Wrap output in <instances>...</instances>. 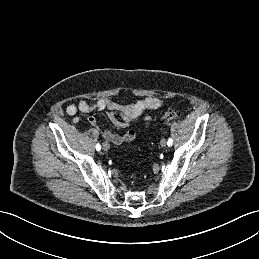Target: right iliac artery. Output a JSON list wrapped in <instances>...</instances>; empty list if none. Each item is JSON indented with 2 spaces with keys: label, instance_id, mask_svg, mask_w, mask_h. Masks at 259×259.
Instances as JSON below:
<instances>
[{
  "label": "right iliac artery",
  "instance_id": "82829eb1",
  "mask_svg": "<svg viewBox=\"0 0 259 259\" xmlns=\"http://www.w3.org/2000/svg\"><path fill=\"white\" fill-rule=\"evenodd\" d=\"M96 150H97V151H100V150H101V145H100L99 143L96 145Z\"/></svg>",
  "mask_w": 259,
  "mask_h": 259
}]
</instances>
